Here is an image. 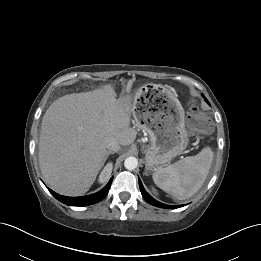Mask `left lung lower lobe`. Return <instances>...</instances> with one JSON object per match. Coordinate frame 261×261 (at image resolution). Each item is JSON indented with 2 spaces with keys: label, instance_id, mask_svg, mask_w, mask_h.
<instances>
[{
  "label": "left lung lower lobe",
  "instance_id": "left-lung-lower-lobe-1",
  "mask_svg": "<svg viewBox=\"0 0 261 261\" xmlns=\"http://www.w3.org/2000/svg\"><path fill=\"white\" fill-rule=\"evenodd\" d=\"M139 186H140V190H141V194L143 196V198L150 204L156 206V207H160V208H167V209H175V208H179L181 207V205H177V206H171V205H166L163 204L157 200H155L154 198H152L144 189L141 180L139 179Z\"/></svg>",
  "mask_w": 261,
  "mask_h": 261
}]
</instances>
